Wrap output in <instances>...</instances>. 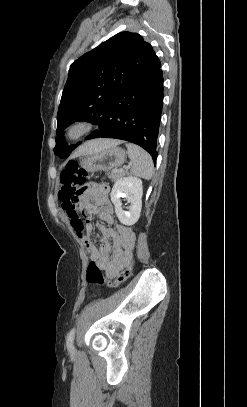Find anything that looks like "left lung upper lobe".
Listing matches in <instances>:
<instances>
[{
    "mask_svg": "<svg viewBox=\"0 0 247 407\" xmlns=\"http://www.w3.org/2000/svg\"><path fill=\"white\" fill-rule=\"evenodd\" d=\"M155 52L137 33L121 32L77 59L69 70L57 114L61 133L75 121L99 125L119 92L147 65ZM76 146L62 135L54 152L67 158Z\"/></svg>",
    "mask_w": 247,
    "mask_h": 407,
    "instance_id": "left-lung-upper-lobe-1",
    "label": "left lung upper lobe"
}]
</instances>
